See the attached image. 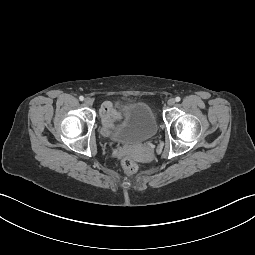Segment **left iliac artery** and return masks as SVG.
Instances as JSON below:
<instances>
[{"mask_svg":"<svg viewBox=\"0 0 255 255\" xmlns=\"http://www.w3.org/2000/svg\"><path fill=\"white\" fill-rule=\"evenodd\" d=\"M181 100V98L179 97V96H177L176 98H175V101L176 102H179Z\"/></svg>","mask_w":255,"mask_h":255,"instance_id":"left-iliac-artery-1","label":"left iliac artery"}]
</instances>
